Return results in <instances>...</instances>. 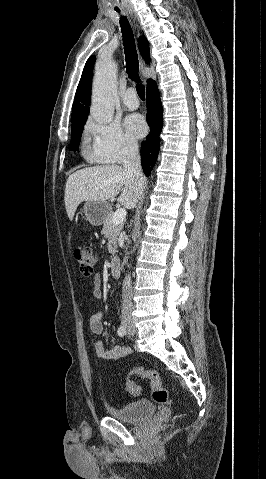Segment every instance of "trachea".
<instances>
[{
    "label": "trachea",
    "instance_id": "trachea-1",
    "mask_svg": "<svg viewBox=\"0 0 266 479\" xmlns=\"http://www.w3.org/2000/svg\"><path fill=\"white\" fill-rule=\"evenodd\" d=\"M115 10L117 12L120 11L119 9H115ZM120 26L122 30V36H123V45L125 50L127 74L129 75V78L132 81H135L137 83L136 84L137 94L142 100H144L145 87L144 85L139 83V79H140L138 74L139 62H138V54L136 50L133 31L130 27V24L127 18L124 16H121L120 18Z\"/></svg>",
    "mask_w": 266,
    "mask_h": 479
}]
</instances>
